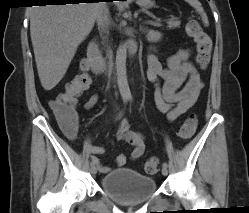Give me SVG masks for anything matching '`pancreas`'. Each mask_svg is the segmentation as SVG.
Segmentation results:
<instances>
[{"label": "pancreas", "instance_id": "obj_1", "mask_svg": "<svg viewBox=\"0 0 249 213\" xmlns=\"http://www.w3.org/2000/svg\"><path fill=\"white\" fill-rule=\"evenodd\" d=\"M180 24H181V22H180L179 20H176V19H170V20L168 21V27H169L170 29L179 27ZM155 26H158V23H156Z\"/></svg>", "mask_w": 249, "mask_h": 213}]
</instances>
